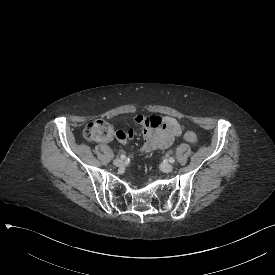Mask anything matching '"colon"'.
Listing matches in <instances>:
<instances>
[{
  "mask_svg": "<svg viewBox=\"0 0 275 275\" xmlns=\"http://www.w3.org/2000/svg\"><path fill=\"white\" fill-rule=\"evenodd\" d=\"M113 129L109 123L103 120H96L87 123L83 130V137L86 141H108L112 139ZM184 139L191 144L197 142V135L191 131L187 130L184 132Z\"/></svg>",
  "mask_w": 275,
  "mask_h": 275,
  "instance_id": "5ec220e1",
  "label": "colon"
}]
</instances>
